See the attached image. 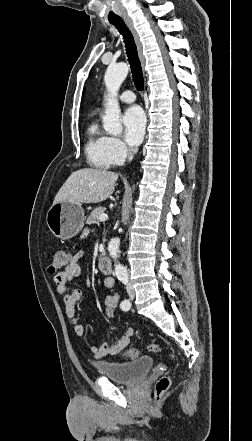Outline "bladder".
<instances>
[{
    "instance_id": "obj_1",
    "label": "bladder",
    "mask_w": 252,
    "mask_h": 441,
    "mask_svg": "<svg viewBox=\"0 0 252 441\" xmlns=\"http://www.w3.org/2000/svg\"><path fill=\"white\" fill-rule=\"evenodd\" d=\"M96 369L106 378L120 384H133L143 379L152 370L153 358L141 356L130 362H101Z\"/></svg>"
}]
</instances>
